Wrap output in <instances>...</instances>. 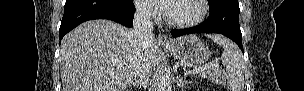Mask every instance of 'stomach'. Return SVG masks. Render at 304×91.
Masks as SVG:
<instances>
[{"mask_svg":"<svg viewBox=\"0 0 304 91\" xmlns=\"http://www.w3.org/2000/svg\"><path fill=\"white\" fill-rule=\"evenodd\" d=\"M164 50L187 64H204L211 56L209 48L194 35L173 40L169 46H164Z\"/></svg>","mask_w":304,"mask_h":91,"instance_id":"1","label":"stomach"}]
</instances>
